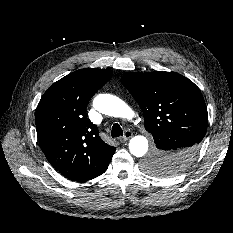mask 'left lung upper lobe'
Wrapping results in <instances>:
<instances>
[{
    "mask_svg": "<svg viewBox=\"0 0 233 233\" xmlns=\"http://www.w3.org/2000/svg\"><path fill=\"white\" fill-rule=\"evenodd\" d=\"M144 114V125L157 133H180L193 139L196 154L205 136L208 113L199 88L175 72H132L121 78ZM171 154L155 146L143 165L158 176L175 175L184 169L170 161ZM190 164V163H189Z\"/></svg>",
    "mask_w": 233,
    "mask_h": 233,
    "instance_id": "obj_1",
    "label": "left lung upper lobe"
}]
</instances>
